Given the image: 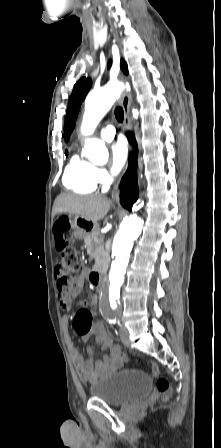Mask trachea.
Returning <instances> with one entry per match:
<instances>
[{
  "instance_id": "1",
  "label": "trachea",
  "mask_w": 221,
  "mask_h": 448,
  "mask_svg": "<svg viewBox=\"0 0 221 448\" xmlns=\"http://www.w3.org/2000/svg\"><path fill=\"white\" fill-rule=\"evenodd\" d=\"M115 117L119 122L123 121L124 118V111L121 107H117L114 111Z\"/></svg>"
}]
</instances>
